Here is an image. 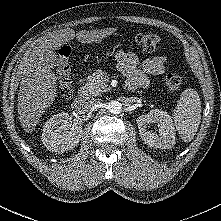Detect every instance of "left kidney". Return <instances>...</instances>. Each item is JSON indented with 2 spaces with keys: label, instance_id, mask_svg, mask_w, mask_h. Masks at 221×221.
<instances>
[{
  "label": "left kidney",
  "instance_id": "left-kidney-1",
  "mask_svg": "<svg viewBox=\"0 0 221 221\" xmlns=\"http://www.w3.org/2000/svg\"><path fill=\"white\" fill-rule=\"evenodd\" d=\"M158 123L159 134L147 131V124ZM140 136L150 147L169 149L175 144V128L167 112L159 109L151 110L148 114L137 119Z\"/></svg>",
  "mask_w": 221,
  "mask_h": 221
}]
</instances>
